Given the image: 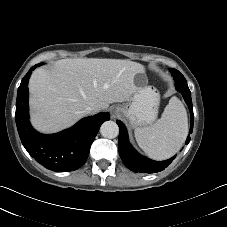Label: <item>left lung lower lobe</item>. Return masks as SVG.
<instances>
[{
    "instance_id": "obj_1",
    "label": "left lung lower lobe",
    "mask_w": 227,
    "mask_h": 227,
    "mask_svg": "<svg viewBox=\"0 0 227 227\" xmlns=\"http://www.w3.org/2000/svg\"><path fill=\"white\" fill-rule=\"evenodd\" d=\"M175 80V85L177 91H179L188 105L191 115V126L189 133L193 131V105L191 100V92L188 88L187 81L183 75L173 76ZM117 124L119 126V139H118V149L120 157L123 163L126 165L128 169L134 172L140 173H155L164 170L175 158H171L165 161H153L149 158H146L140 155L130 144L128 139V134L125 126L119 120H117ZM190 136L187 137L186 144L190 142Z\"/></svg>"
}]
</instances>
